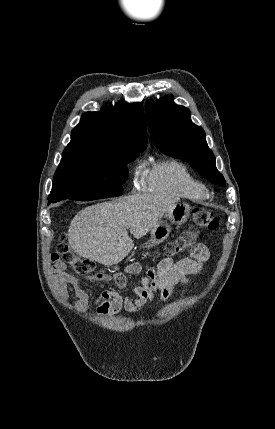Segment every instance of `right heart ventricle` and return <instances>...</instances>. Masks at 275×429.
I'll return each instance as SVG.
<instances>
[{"label":"right heart ventricle","mask_w":275,"mask_h":429,"mask_svg":"<svg viewBox=\"0 0 275 429\" xmlns=\"http://www.w3.org/2000/svg\"><path fill=\"white\" fill-rule=\"evenodd\" d=\"M147 191L192 200L207 197V188L183 162L168 158L154 162L144 173Z\"/></svg>","instance_id":"obj_1"}]
</instances>
